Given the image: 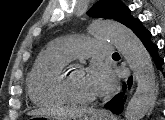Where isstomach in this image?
I'll list each match as a JSON object with an SVG mask.
<instances>
[{"label":"stomach","mask_w":165,"mask_h":120,"mask_svg":"<svg viewBox=\"0 0 165 120\" xmlns=\"http://www.w3.org/2000/svg\"><path fill=\"white\" fill-rule=\"evenodd\" d=\"M31 119H47V120H53L54 117L49 116V115H45V114H41V115H34ZM57 120H67L64 118H60L57 117ZM74 120H113L112 117H110L107 113L105 112H100V111H88L87 113H85L84 115L77 117Z\"/></svg>","instance_id":"obj_1"}]
</instances>
